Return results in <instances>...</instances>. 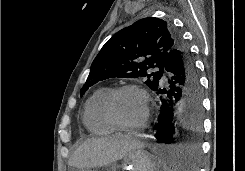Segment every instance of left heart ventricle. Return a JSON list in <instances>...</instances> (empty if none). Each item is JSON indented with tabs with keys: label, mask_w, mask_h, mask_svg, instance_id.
Segmentation results:
<instances>
[{
	"label": "left heart ventricle",
	"mask_w": 245,
	"mask_h": 171,
	"mask_svg": "<svg viewBox=\"0 0 245 171\" xmlns=\"http://www.w3.org/2000/svg\"><path fill=\"white\" fill-rule=\"evenodd\" d=\"M119 120L127 125L140 123L146 112V101L141 93L128 90L119 94L114 103Z\"/></svg>",
	"instance_id": "1"
}]
</instances>
